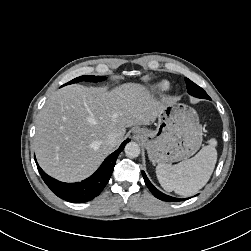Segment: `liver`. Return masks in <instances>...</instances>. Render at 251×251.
Returning <instances> with one entry per match:
<instances>
[{
    "label": "liver",
    "instance_id": "liver-1",
    "mask_svg": "<svg viewBox=\"0 0 251 251\" xmlns=\"http://www.w3.org/2000/svg\"><path fill=\"white\" fill-rule=\"evenodd\" d=\"M167 101L135 83L111 91L63 87L39 113L34 138L38 162L58 180H83L123 141L127 127L153 123ZM111 133L117 135L114 146L106 142Z\"/></svg>",
    "mask_w": 251,
    "mask_h": 251
}]
</instances>
